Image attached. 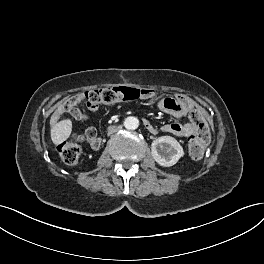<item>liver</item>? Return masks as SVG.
<instances>
[{
	"instance_id": "1",
	"label": "liver",
	"mask_w": 264,
	"mask_h": 264,
	"mask_svg": "<svg viewBox=\"0 0 264 264\" xmlns=\"http://www.w3.org/2000/svg\"><path fill=\"white\" fill-rule=\"evenodd\" d=\"M72 123L70 119H64L58 123H55L51 127L50 135L51 140L55 145H58L65 141L71 133Z\"/></svg>"
}]
</instances>
